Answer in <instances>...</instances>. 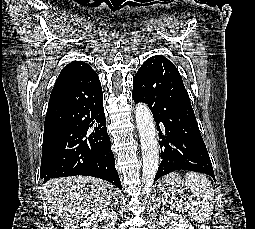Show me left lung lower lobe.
<instances>
[{"instance_id":"left-lung-lower-lobe-1","label":"left lung lower lobe","mask_w":255,"mask_h":229,"mask_svg":"<svg viewBox=\"0 0 255 229\" xmlns=\"http://www.w3.org/2000/svg\"><path fill=\"white\" fill-rule=\"evenodd\" d=\"M135 103L148 104L157 125L162 156L155 180L176 171L202 172L215 180L189 95L174 64L152 56L133 79Z\"/></svg>"}]
</instances>
